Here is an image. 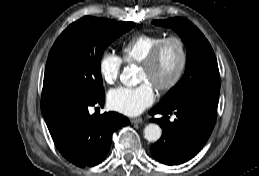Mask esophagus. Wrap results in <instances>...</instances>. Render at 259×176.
Instances as JSON below:
<instances>
[{
    "mask_svg": "<svg viewBox=\"0 0 259 176\" xmlns=\"http://www.w3.org/2000/svg\"><path fill=\"white\" fill-rule=\"evenodd\" d=\"M130 122L132 123V124H141L142 122H143V119L142 118H132V119H130Z\"/></svg>",
    "mask_w": 259,
    "mask_h": 176,
    "instance_id": "obj_1",
    "label": "esophagus"
}]
</instances>
